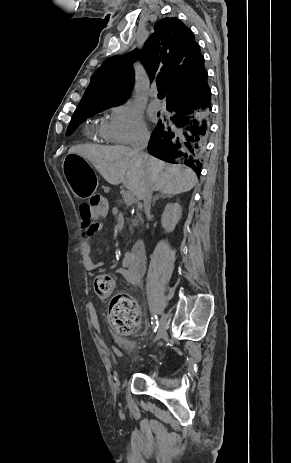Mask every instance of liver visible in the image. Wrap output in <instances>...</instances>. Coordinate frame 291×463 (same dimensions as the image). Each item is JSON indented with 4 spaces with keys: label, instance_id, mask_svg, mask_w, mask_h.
Returning a JSON list of instances; mask_svg holds the SVG:
<instances>
[{
    "label": "liver",
    "instance_id": "1",
    "mask_svg": "<svg viewBox=\"0 0 291 463\" xmlns=\"http://www.w3.org/2000/svg\"><path fill=\"white\" fill-rule=\"evenodd\" d=\"M89 160L102 177L112 185H123L138 199L150 179L153 190L176 195L190 191L197 183L196 174L183 165H170L149 154L140 159L125 146L77 145L68 151Z\"/></svg>",
    "mask_w": 291,
    "mask_h": 463
}]
</instances>
